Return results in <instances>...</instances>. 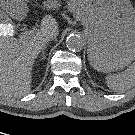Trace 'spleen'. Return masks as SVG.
<instances>
[{"mask_svg": "<svg viewBox=\"0 0 135 135\" xmlns=\"http://www.w3.org/2000/svg\"><path fill=\"white\" fill-rule=\"evenodd\" d=\"M106 84L116 92H123L135 86V62L120 74L107 75Z\"/></svg>", "mask_w": 135, "mask_h": 135, "instance_id": "spleen-1", "label": "spleen"}]
</instances>
